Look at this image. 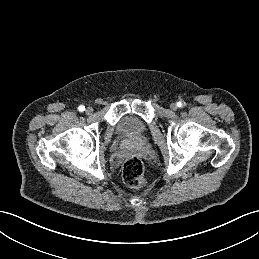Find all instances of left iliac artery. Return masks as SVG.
Returning <instances> with one entry per match:
<instances>
[{
	"label": "left iliac artery",
	"instance_id": "1",
	"mask_svg": "<svg viewBox=\"0 0 259 259\" xmlns=\"http://www.w3.org/2000/svg\"><path fill=\"white\" fill-rule=\"evenodd\" d=\"M177 106H178V107H182V106H183V103H182V102H178V103H177Z\"/></svg>",
	"mask_w": 259,
	"mask_h": 259
}]
</instances>
